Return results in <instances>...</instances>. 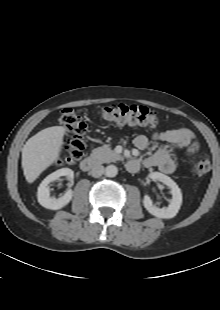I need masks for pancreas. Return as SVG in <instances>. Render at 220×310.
I'll use <instances>...</instances> for the list:
<instances>
[{
	"mask_svg": "<svg viewBox=\"0 0 220 310\" xmlns=\"http://www.w3.org/2000/svg\"><path fill=\"white\" fill-rule=\"evenodd\" d=\"M91 158L96 160L98 163H109L115 162L121 159V156L115 151L111 150L108 146H102L95 148L91 153Z\"/></svg>",
	"mask_w": 220,
	"mask_h": 310,
	"instance_id": "pancreas-1",
	"label": "pancreas"
}]
</instances>
